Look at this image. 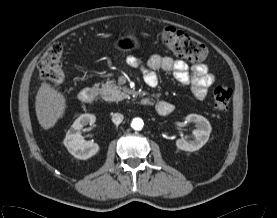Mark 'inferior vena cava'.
<instances>
[{
  "label": "inferior vena cava",
  "mask_w": 277,
  "mask_h": 218,
  "mask_svg": "<svg viewBox=\"0 0 277 218\" xmlns=\"http://www.w3.org/2000/svg\"><path fill=\"white\" fill-rule=\"evenodd\" d=\"M123 115L121 113H114L112 115V122L116 125H119L123 121Z\"/></svg>",
  "instance_id": "1"
}]
</instances>
